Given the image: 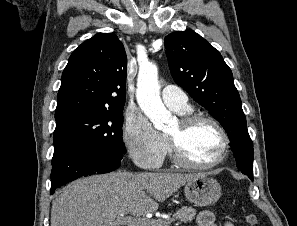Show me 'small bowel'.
<instances>
[{
    "instance_id": "small-bowel-1",
    "label": "small bowel",
    "mask_w": 297,
    "mask_h": 226,
    "mask_svg": "<svg viewBox=\"0 0 297 226\" xmlns=\"http://www.w3.org/2000/svg\"><path fill=\"white\" fill-rule=\"evenodd\" d=\"M198 226H218L215 217L210 211H202L197 217ZM223 226H234L230 221H226Z\"/></svg>"
}]
</instances>
